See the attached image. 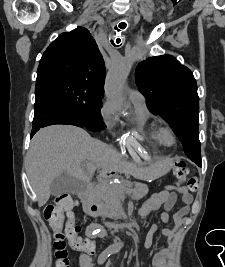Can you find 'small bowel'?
Returning a JSON list of instances; mask_svg holds the SVG:
<instances>
[{
	"label": "small bowel",
	"mask_w": 225,
	"mask_h": 267,
	"mask_svg": "<svg viewBox=\"0 0 225 267\" xmlns=\"http://www.w3.org/2000/svg\"><path fill=\"white\" fill-rule=\"evenodd\" d=\"M177 194H180L183 206L174 214L173 221L176 225H181L184 217L188 214L191 204H192V195L189 192L188 188L178 184L169 185L166 187V190L154 194L150 197L139 209V214L141 216H147L153 211H156L162 208V213L160 215L163 223L168 224L170 221V211L177 200ZM97 229V226L91 225L87 228V236L94 235V231ZM158 230L157 225H153L148 232L145 241L144 247L150 248L152 245L153 234ZM161 233L166 238H171L173 236V231L168 228H162ZM91 245L92 249L90 251H82L79 256V262L82 267H91V256L95 253V244L92 239H87ZM168 255V250L166 248H161L152 258V267H165L166 258Z\"/></svg>",
	"instance_id": "obj_1"
}]
</instances>
